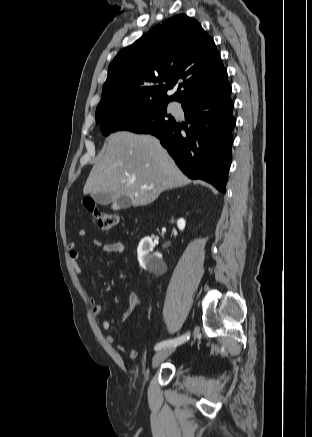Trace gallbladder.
<instances>
[{"label":"gallbladder","instance_id":"1","mask_svg":"<svg viewBox=\"0 0 312 437\" xmlns=\"http://www.w3.org/2000/svg\"><path fill=\"white\" fill-rule=\"evenodd\" d=\"M92 199L96 203L101 205H107L113 202L112 195L110 193H104V192L92 194ZM130 205H131V201L128 198L120 197L117 200L116 205L113 206V209L117 210L119 208H128Z\"/></svg>","mask_w":312,"mask_h":437}]
</instances>
